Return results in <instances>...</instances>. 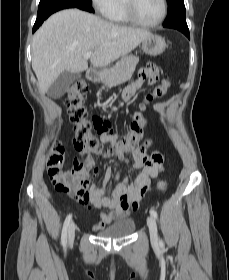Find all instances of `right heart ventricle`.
Segmentation results:
<instances>
[{
  "mask_svg": "<svg viewBox=\"0 0 229 280\" xmlns=\"http://www.w3.org/2000/svg\"><path fill=\"white\" fill-rule=\"evenodd\" d=\"M107 18L117 24H128L130 22L124 9L123 0L116 1V5L111 10Z\"/></svg>",
  "mask_w": 229,
  "mask_h": 280,
  "instance_id": "1",
  "label": "right heart ventricle"
}]
</instances>
